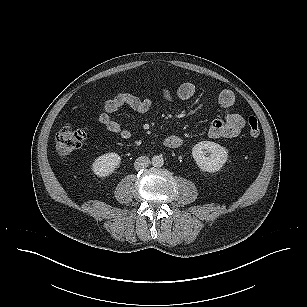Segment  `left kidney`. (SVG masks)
Instances as JSON below:
<instances>
[{
	"instance_id": "5707ae66",
	"label": "left kidney",
	"mask_w": 307,
	"mask_h": 307,
	"mask_svg": "<svg viewBox=\"0 0 307 307\" xmlns=\"http://www.w3.org/2000/svg\"><path fill=\"white\" fill-rule=\"evenodd\" d=\"M192 156L201 170L212 173L226 163L228 151L217 143L201 141L192 148Z\"/></svg>"
}]
</instances>
